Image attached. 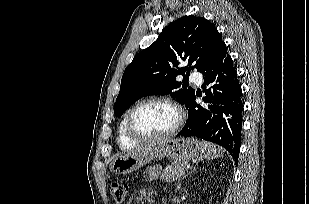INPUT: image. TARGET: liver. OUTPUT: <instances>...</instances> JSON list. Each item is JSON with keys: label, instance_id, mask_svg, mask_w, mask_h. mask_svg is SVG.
Returning a JSON list of instances; mask_svg holds the SVG:
<instances>
[{"label": "liver", "instance_id": "6515ba94", "mask_svg": "<svg viewBox=\"0 0 309 204\" xmlns=\"http://www.w3.org/2000/svg\"><path fill=\"white\" fill-rule=\"evenodd\" d=\"M160 142V141H159ZM155 143H151V144H149L148 146H152V145H154Z\"/></svg>", "mask_w": 309, "mask_h": 204}]
</instances>
